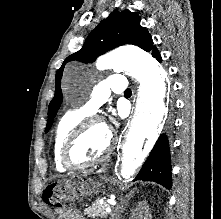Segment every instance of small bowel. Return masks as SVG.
I'll list each match as a JSON object with an SVG mask.
<instances>
[{"instance_id": "obj_1", "label": "small bowel", "mask_w": 221, "mask_h": 219, "mask_svg": "<svg viewBox=\"0 0 221 219\" xmlns=\"http://www.w3.org/2000/svg\"><path fill=\"white\" fill-rule=\"evenodd\" d=\"M61 219H85L77 209L60 210Z\"/></svg>"}]
</instances>
